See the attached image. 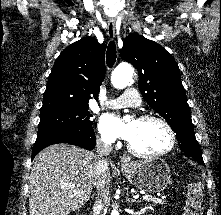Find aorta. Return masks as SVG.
Returning a JSON list of instances; mask_svg holds the SVG:
<instances>
[{
  "label": "aorta",
  "mask_w": 221,
  "mask_h": 215,
  "mask_svg": "<svg viewBox=\"0 0 221 215\" xmlns=\"http://www.w3.org/2000/svg\"><path fill=\"white\" fill-rule=\"evenodd\" d=\"M133 76V68L129 64L118 65L111 75L112 85L117 89L125 88L131 81ZM111 215H119L117 210H113Z\"/></svg>",
  "instance_id": "obj_1"
}]
</instances>
